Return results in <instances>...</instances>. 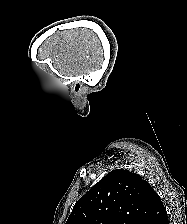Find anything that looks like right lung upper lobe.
Segmentation results:
<instances>
[{"instance_id": "obj_1", "label": "right lung upper lobe", "mask_w": 187, "mask_h": 224, "mask_svg": "<svg viewBox=\"0 0 187 224\" xmlns=\"http://www.w3.org/2000/svg\"><path fill=\"white\" fill-rule=\"evenodd\" d=\"M166 209L138 174L116 169L74 205L66 224H161Z\"/></svg>"}]
</instances>
